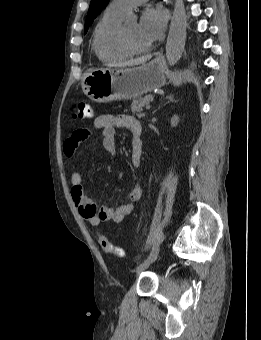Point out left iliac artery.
Returning <instances> with one entry per match:
<instances>
[{"label":"left iliac artery","mask_w":261,"mask_h":340,"mask_svg":"<svg viewBox=\"0 0 261 340\" xmlns=\"http://www.w3.org/2000/svg\"><path fill=\"white\" fill-rule=\"evenodd\" d=\"M159 254V245L153 244L149 254L144 258V261H154Z\"/></svg>","instance_id":"obj_1"}]
</instances>
